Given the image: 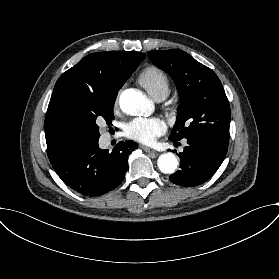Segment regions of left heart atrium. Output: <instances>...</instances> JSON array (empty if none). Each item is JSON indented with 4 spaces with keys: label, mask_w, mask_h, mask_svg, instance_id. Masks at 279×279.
Returning a JSON list of instances; mask_svg holds the SVG:
<instances>
[{
    "label": "left heart atrium",
    "mask_w": 279,
    "mask_h": 279,
    "mask_svg": "<svg viewBox=\"0 0 279 279\" xmlns=\"http://www.w3.org/2000/svg\"><path fill=\"white\" fill-rule=\"evenodd\" d=\"M166 130L164 122L158 117H136L123 128L124 135L142 144H150Z\"/></svg>",
    "instance_id": "obj_1"
}]
</instances>
